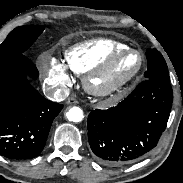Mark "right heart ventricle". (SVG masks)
Masks as SVG:
<instances>
[{
    "instance_id": "1",
    "label": "right heart ventricle",
    "mask_w": 183,
    "mask_h": 183,
    "mask_svg": "<svg viewBox=\"0 0 183 183\" xmlns=\"http://www.w3.org/2000/svg\"><path fill=\"white\" fill-rule=\"evenodd\" d=\"M119 41L96 38L72 45L64 52V65L77 75H84L98 66L112 52L126 48Z\"/></svg>"
}]
</instances>
